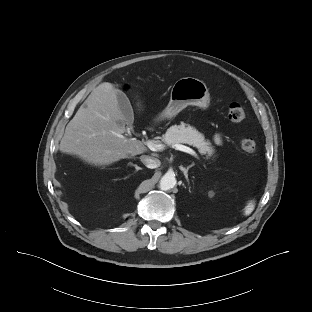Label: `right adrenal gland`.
<instances>
[{
	"label": "right adrenal gland",
	"instance_id": "1",
	"mask_svg": "<svg viewBox=\"0 0 312 312\" xmlns=\"http://www.w3.org/2000/svg\"><path fill=\"white\" fill-rule=\"evenodd\" d=\"M129 165H131V166L135 167V171L142 170V168H141V167H139V166H138V165H136V164L129 163ZM126 178H127V177H126Z\"/></svg>",
	"mask_w": 312,
	"mask_h": 312
}]
</instances>
